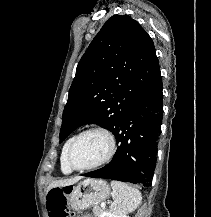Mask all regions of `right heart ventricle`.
Listing matches in <instances>:
<instances>
[{"label": "right heart ventricle", "mask_w": 211, "mask_h": 217, "mask_svg": "<svg viewBox=\"0 0 211 217\" xmlns=\"http://www.w3.org/2000/svg\"><path fill=\"white\" fill-rule=\"evenodd\" d=\"M75 135L70 136L65 143L63 144L62 150H61V155H60V169L62 173L64 174H71L73 172V169L68 165L67 162V151L68 147L73 140Z\"/></svg>", "instance_id": "e07e8e85"}]
</instances>
